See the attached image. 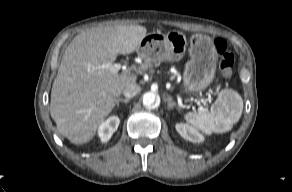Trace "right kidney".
Masks as SVG:
<instances>
[{
  "mask_svg": "<svg viewBox=\"0 0 292 192\" xmlns=\"http://www.w3.org/2000/svg\"><path fill=\"white\" fill-rule=\"evenodd\" d=\"M120 120L117 116H111L104 121L98 129V135L102 142H107L117 130Z\"/></svg>",
  "mask_w": 292,
  "mask_h": 192,
  "instance_id": "ca27d5eb",
  "label": "right kidney"
}]
</instances>
